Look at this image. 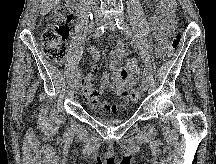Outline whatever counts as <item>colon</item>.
I'll return each mask as SVG.
<instances>
[{
  "mask_svg": "<svg viewBox=\"0 0 216 164\" xmlns=\"http://www.w3.org/2000/svg\"><path fill=\"white\" fill-rule=\"evenodd\" d=\"M71 18L72 12L67 1L55 9L51 22L48 23L42 34L44 43L43 53L51 62L57 65H62L67 58V37ZM180 44L181 33L175 21L169 30V39L164 47L163 59H169L175 50L179 48ZM84 79L93 80V73L87 74ZM128 98L134 102L139 101L141 98V89L136 88L132 90Z\"/></svg>",
  "mask_w": 216,
  "mask_h": 164,
  "instance_id": "colon-1",
  "label": "colon"
}]
</instances>
